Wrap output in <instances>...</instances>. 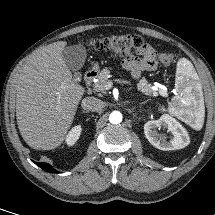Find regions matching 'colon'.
Masks as SVG:
<instances>
[{
	"label": "colon",
	"instance_id": "5ec220e1",
	"mask_svg": "<svg viewBox=\"0 0 215 215\" xmlns=\"http://www.w3.org/2000/svg\"><path fill=\"white\" fill-rule=\"evenodd\" d=\"M91 46L99 51H111L119 55H129L134 51H139L145 44L138 35L123 34L105 38L93 39ZM175 60V55L171 52L162 53L160 61L164 66L171 65Z\"/></svg>",
	"mask_w": 215,
	"mask_h": 215
}]
</instances>
